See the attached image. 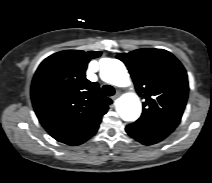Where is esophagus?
I'll list each match as a JSON object with an SVG mask.
<instances>
[{"instance_id": "34e87169", "label": "esophagus", "mask_w": 212, "mask_h": 183, "mask_svg": "<svg viewBox=\"0 0 212 183\" xmlns=\"http://www.w3.org/2000/svg\"><path fill=\"white\" fill-rule=\"evenodd\" d=\"M121 95V91H117L114 96H112V100H116Z\"/></svg>"}]
</instances>
